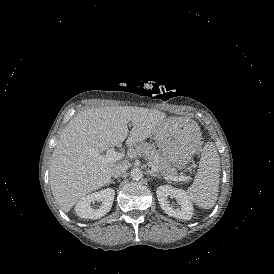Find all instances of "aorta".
<instances>
[{"label":"aorta","mask_w":274,"mask_h":274,"mask_svg":"<svg viewBox=\"0 0 274 274\" xmlns=\"http://www.w3.org/2000/svg\"><path fill=\"white\" fill-rule=\"evenodd\" d=\"M130 176L133 180H140L143 177V172L139 168H133L130 171Z\"/></svg>","instance_id":"obj_1"}]
</instances>
